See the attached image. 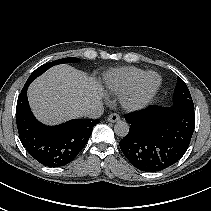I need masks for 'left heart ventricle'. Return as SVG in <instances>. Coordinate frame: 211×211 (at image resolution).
<instances>
[{
  "mask_svg": "<svg viewBox=\"0 0 211 211\" xmlns=\"http://www.w3.org/2000/svg\"><path fill=\"white\" fill-rule=\"evenodd\" d=\"M158 83V78L156 76H150L146 83H145V88L146 89H151L153 88L156 84Z\"/></svg>",
  "mask_w": 211,
  "mask_h": 211,
  "instance_id": "1",
  "label": "left heart ventricle"
}]
</instances>
